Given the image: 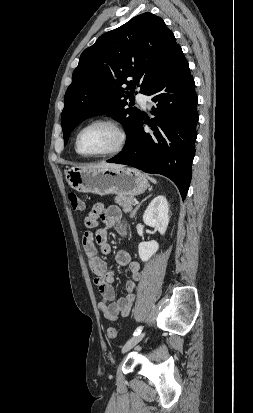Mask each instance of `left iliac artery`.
<instances>
[{"mask_svg": "<svg viewBox=\"0 0 253 413\" xmlns=\"http://www.w3.org/2000/svg\"><path fill=\"white\" fill-rule=\"evenodd\" d=\"M142 328H143L142 326L138 327V328L134 331L133 336H136V335L140 334Z\"/></svg>", "mask_w": 253, "mask_h": 413, "instance_id": "1", "label": "left iliac artery"}]
</instances>
